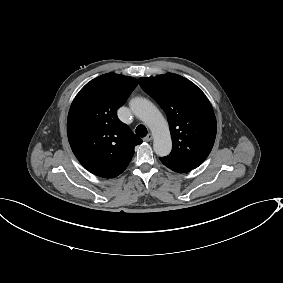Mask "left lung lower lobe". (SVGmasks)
<instances>
[{"label": "left lung lower lobe", "instance_id": "obj_1", "mask_svg": "<svg viewBox=\"0 0 283 283\" xmlns=\"http://www.w3.org/2000/svg\"><path fill=\"white\" fill-rule=\"evenodd\" d=\"M161 162L167 166L168 168H170L171 170L178 172V173H186L189 172L192 168L186 167V166H182L176 163H172L168 160H166L165 158H160Z\"/></svg>", "mask_w": 283, "mask_h": 283}]
</instances>
